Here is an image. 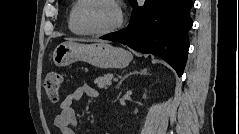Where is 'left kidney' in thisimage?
<instances>
[{
    "label": "left kidney",
    "instance_id": "obj_1",
    "mask_svg": "<svg viewBox=\"0 0 239 134\" xmlns=\"http://www.w3.org/2000/svg\"><path fill=\"white\" fill-rule=\"evenodd\" d=\"M143 98L146 99V94H143Z\"/></svg>",
    "mask_w": 239,
    "mask_h": 134
}]
</instances>
